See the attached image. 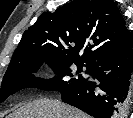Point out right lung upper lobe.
Here are the masks:
<instances>
[{
    "label": "right lung upper lobe",
    "mask_w": 133,
    "mask_h": 118,
    "mask_svg": "<svg viewBox=\"0 0 133 118\" xmlns=\"http://www.w3.org/2000/svg\"><path fill=\"white\" fill-rule=\"evenodd\" d=\"M129 41L126 23L112 0H75L39 16L23 33L8 69L51 58L91 67Z\"/></svg>",
    "instance_id": "right-lung-upper-lobe-1"
}]
</instances>
